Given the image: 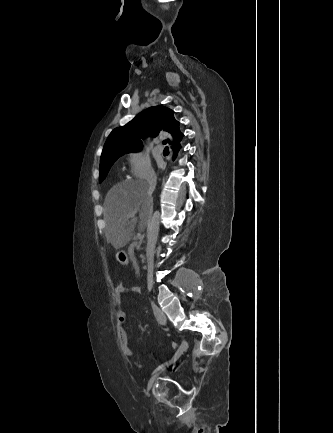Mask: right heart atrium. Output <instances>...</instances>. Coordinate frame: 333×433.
Listing matches in <instances>:
<instances>
[{
	"label": "right heart atrium",
	"instance_id": "right-heart-atrium-1",
	"mask_svg": "<svg viewBox=\"0 0 333 433\" xmlns=\"http://www.w3.org/2000/svg\"><path fill=\"white\" fill-rule=\"evenodd\" d=\"M129 174L134 178L149 179L154 176L151 160L140 150H133L126 156Z\"/></svg>",
	"mask_w": 333,
	"mask_h": 433
}]
</instances>
